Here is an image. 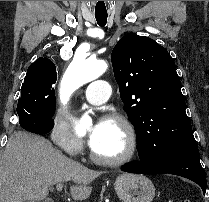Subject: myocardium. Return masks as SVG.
I'll return each mask as SVG.
<instances>
[{
    "label": "myocardium",
    "instance_id": "obj_1",
    "mask_svg": "<svg viewBox=\"0 0 209 202\" xmlns=\"http://www.w3.org/2000/svg\"><path fill=\"white\" fill-rule=\"evenodd\" d=\"M104 121L116 122L123 127L127 135L128 147L123 155L119 157L109 158L99 155L91 145V159L96 163L106 166H119L131 161L136 156L138 150L137 134L131 122L128 120L127 117L121 114H108L104 117Z\"/></svg>",
    "mask_w": 209,
    "mask_h": 202
}]
</instances>
